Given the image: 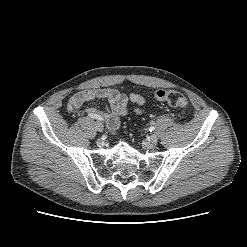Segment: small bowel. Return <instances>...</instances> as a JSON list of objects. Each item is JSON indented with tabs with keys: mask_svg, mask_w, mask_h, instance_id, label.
Here are the masks:
<instances>
[{
	"mask_svg": "<svg viewBox=\"0 0 247 247\" xmlns=\"http://www.w3.org/2000/svg\"><path fill=\"white\" fill-rule=\"evenodd\" d=\"M100 99L107 102L108 107L104 111H99L95 108L85 109L87 115H94L102 118L110 130H116L120 126V118L128 112L129 103L136 105L137 113L144 112L146 105L145 99L136 93L125 95L111 88H101L97 90H82L73 94L67 103V111L73 112L79 110L82 105L90 100Z\"/></svg>",
	"mask_w": 247,
	"mask_h": 247,
	"instance_id": "small-bowel-1",
	"label": "small bowel"
}]
</instances>
